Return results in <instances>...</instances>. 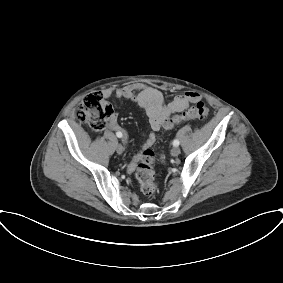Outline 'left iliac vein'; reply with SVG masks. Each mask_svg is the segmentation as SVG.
<instances>
[{
	"instance_id": "left-iliac-vein-1",
	"label": "left iliac vein",
	"mask_w": 283,
	"mask_h": 283,
	"mask_svg": "<svg viewBox=\"0 0 283 283\" xmlns=\"http://www.w3.org/2000/svg\"><path fill=\"white\" fill-rule=\"evenodd\" d=\"M180 152H181L180 148L178 146H175L171 150V155L173 157H176V156H178L180 154Z\"/></svg>"
}]
</instances>
